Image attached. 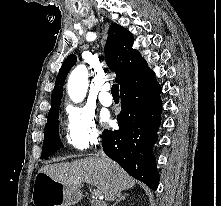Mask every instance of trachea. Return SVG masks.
Listing matches in <instances>:
<instances>
[{
  "instance_id": "1",
  "label": "trachea",
  "mask_w": 221,
  "mask_h": 206,
  "mask_svg": "<svg viewBox=\"0 0 221 206\" xmlns=\"http://www.w3.org/2000/svg\"><path fill=\"white\" fill-rule=\"evenodd\" d=\"M111 93H112V96L119 97V85L118 84L112 85Z\"/></svg>"
}]
</instances>
